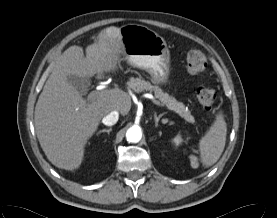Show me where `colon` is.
<instances>
[{
	"label": "colon",
	"instance_id": "obj_1",
	"mask_svg": "<svg viewBox=\"0 0 277 218\" xmlns=\"http://www.w3.org/2000/svg\"><path fill=\"white\" fill-rule=\"evenodd\" d=\"M186 68L191 74L203 72L207 65L205 54L197 48H192L187 52L185 60ZM216 91L210 86H200L196 90V98L205 110H211L216 102Z\"/></svg>",
	"mask_w": 277,
	"mask_h": 218
}]
</instances>
